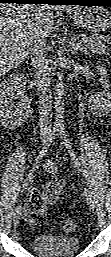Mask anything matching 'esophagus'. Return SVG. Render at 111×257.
I'll list each match as a JSON object with an SVG mask.
<instances>
[{
	"instance_id": "1",
	"label": "esophagus",
	"mask_w": 111,
	"mask_h": 257,
	"mask_svg": "<svg viewBox=\"0 0 111 257\" xmlns=\"http://www.w3.org/2000/svg\"><path fill=\"white\" fill-rule=\"evenodd\" d=\"M59 9H60V10H69V8L66 7V6H61V7H59Z\"/></svg>"
}]
</instances>
